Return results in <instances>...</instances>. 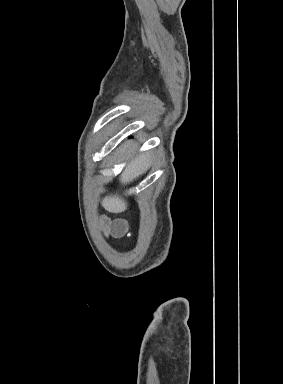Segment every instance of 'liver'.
<instances>
[{"instance_id":"1","label":"liver","mask_w":283,"mask_h":384,"mask_svg":"<svg viewBox=\"0 0 283 384\" xmlns=\"http://www.w3.org/2000/svg\"><path fill=\"white\" fill-rule=\"evenodd\" d=\"M151 166V160L149 154H141L138 158L131 160L130 164H127L124 172L121 174L120 182L121 184H130L134 182L136 178L145 174ZM101 206L107 210V212H112V214H120V212H125L127 210V204L125 200L119 198V196H106L101 202Z\"/></svg>"}]
</instances>
